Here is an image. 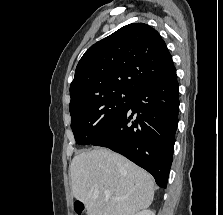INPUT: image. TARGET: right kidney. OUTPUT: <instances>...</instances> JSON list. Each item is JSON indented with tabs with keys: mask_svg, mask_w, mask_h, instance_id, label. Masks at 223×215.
I'll use <instances>...</instances> for the list:
<instances>
[{
	"mask_svg": "<svg viewBox=\"0 0 223 215\" xmlns=\"http://www.w3.org/2000/svg\"><path fill=\"white\" fill-rule=\"evenodd\" d=\"M134 215H155V211H151V209H142V211H138V213H134Z\"/></svg>",
	"mask_w": 223,
	"mask_h": 215,
	"instance_id": "right-kidney-1",
	"label": "right kidney"
}]
</instances>
